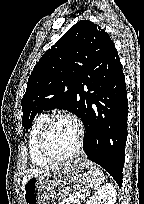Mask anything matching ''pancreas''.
I'll use <instances>...</instances> for the list:
<instances>
[{
	"instance_id": "1",
	"label": "pancreas",
	"mask_w": 144,
	"mask_h": 204,
	"mask_svg": "<svg viewBox=\"0 0 144 204\" xmlns=\"http://www.w3.org/2000/svg\"><path fill=\"white\" fill-rule=\"evenodd\" d=\"M66 204H77L76 198H70Z\"/></svg>"
}]
</instances>
